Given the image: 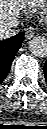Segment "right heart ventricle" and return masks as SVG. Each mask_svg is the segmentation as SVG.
Segmentation results:
<instances>
[{"label": "right heart ventricle", "mask_w": 47, "mask_h": 129, "mask_svg": "<svg viewBox=\"0 0 47 129\" xmlns=\"http://www.w3.org/2000/svg\"><path fill=\"white\" fill-rule=\"evenodd\" d=\"M34 6H38L42 0H31Z\"/></svg>", "instance_id": "obj_1"}]
</instances>
